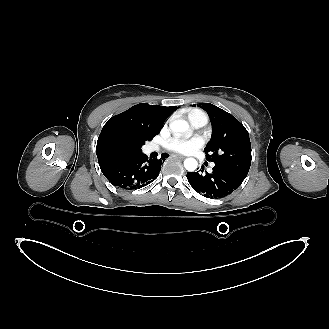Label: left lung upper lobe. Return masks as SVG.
Here are the masks:
<instances>
[{
	"mask_svg": "<svg viewBox=\"0 0 329 329\" xmlns=\"http://www.w3.org/2000/svg\"><path fill=\"white\" fill-rule=\"evenodd\" d=\"M210 116L212 136L204 151L215 165L247 176L251 165V144L245 127L231 114L210 103L198 105Z\"/></svg>",
	"mask_w": 329,
	"mask_h": 329,
	"instance_id": "left-lung-upper-lobe-1",
	"label": "left lung upper lobe"
}]
</instances>
